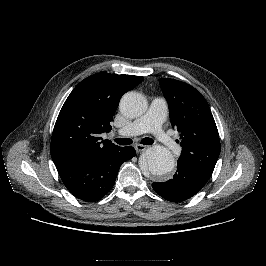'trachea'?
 <instances>
[{
    "label": "trachea",
    "instance_id": "1",
    "mask_svg": "<svg viewBox=\"0 0 266 266\" xmlns=\"http://www.w3.org/2000/svg\"><path fill=\"white\" fill-rule=\"evenodd\" d=\"M119 145H130L133 143V141L129 138H119L114 140ZM141 143L144 145H151L154 143V141L151 138H144L141 140Z\"/></svg>",
    "mask_w": 266,
    "mask_h": 266
}]
</instances>
